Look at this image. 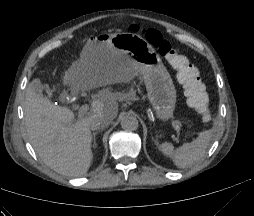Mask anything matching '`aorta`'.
Here are the masks:
<instances>
[{"label": "aorta", "instance_id": "obj_1", "mask_svg": "<svg viewBox=\"0 0 254 216\" xmlns=\"http://www.w3.org/2000/svg\"><path fill=\"white\" fill-rule=\"evenodd\" d=\"M121 127L126 131H135L139 127V122L134 115L127 114L121 119Z\"/></svg>", "mask_w": 254, "mask_h": 216}]
</instances>
